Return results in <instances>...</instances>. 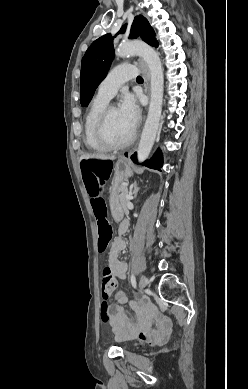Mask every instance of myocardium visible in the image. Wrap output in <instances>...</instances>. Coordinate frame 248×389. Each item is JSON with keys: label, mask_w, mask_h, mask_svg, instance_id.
Masks as SVG:
<instances>
[{"label": "myocardium", "mask_w": 248, "mask_h": 389, "mask_svg": "<svg viewBox=\"0 0 248 389\" xmlns=\"http://www.w3.org/2000/svg\"><path fill=\"white\" fill-rule=\"evenodd\" d=\"M115 104H107L103 109L95 130L97 141L108 150H118L129 146L136 137V129L134 128L130 136L122 142L113 141L108 134V123L110 112L115 108Z\"/></svg>", "instance_id": "1"}]
</instances>
